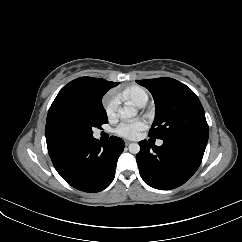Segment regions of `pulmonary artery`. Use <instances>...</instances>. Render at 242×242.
<instances>
[{"mask_svg":"<svg viewBox=\"0 0 242 242\" xmlns=\"http://www.w3.org/2000/svg\"><path fill=\"white\" fill-rule=\"evenodd\" d=\"M162 144H163V141H162V140H158V141H157V145H158V146H161Z\"/></svg>","mask_w":242,"mask_h":242,"instance_id":"e3ab8cb5","label":"pulmonary artery"}]
</instances>
